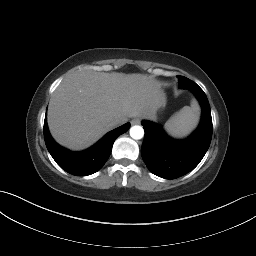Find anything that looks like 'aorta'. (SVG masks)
I'll use <instances>...</instances> for the list:
<instances>
[{"label": "aorta", "mask_w": 256, "mask_h": 256, "mask_svg": "<svg viewBox=\"0 0 256 256\" xmlns=\"http://www.w3.org/2000/svg\"><path fill=\"white\" fill-rule=\"evenodd\" d=\"M130 136L135 139H141L144 136V129L142 126L135 125L130 128Z\"/></svg>", "instance_id": "aorta-1"}]
</instances>
